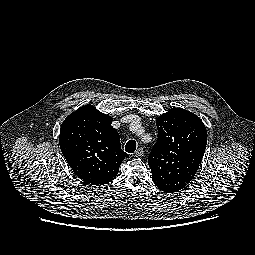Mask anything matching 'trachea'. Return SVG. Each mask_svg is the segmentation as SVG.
Masks as SVG:
<instances>
[{
  "mask_svg": "<svg viewBox=\"0 0 255 255\" xmlns=\"http://www.w3.org/2000/svg\"><path fill=\"white\" fill-rule=\"evenodd\" d=\"M136 150V142L134 140H129L125 146V151L128 153H134Z\"/></svg>",
  "mask_w": 255,
  "mask_h": 255,
  "instance_id": "3493384b",
  "label": "trachea"
}]
</instances>
